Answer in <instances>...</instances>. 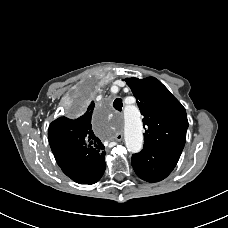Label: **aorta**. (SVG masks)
Segmentation results:
<instances>
[{"label": "aorta", "instance_id": "obj_1", "mask_svg": "<svg viewBox=\"0 0 228 228\" xmlns=\"http://www.w3.org/2000/svg\"><path fill=\"white\" fill-rule=\"evenodd\" d=\"M142 120L140 112L134 105L124 109V138L129 152L138 153L143 146Z\"/></svg>", "mask_w": 228, "mask_h": 228}]
</instances>
